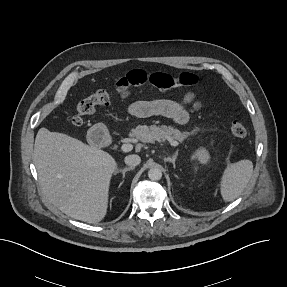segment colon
<instances>
[{"label": "colon", "mask_w": 287, "mask_h": 287, "mask_svg": "<svg viewBox=\"0 0 287 287\" xmlns=\"http://www.w3.org/2000/svg\"><path fill=\"white\" fill-rule=\"evenodd\" d=\"M198 82L197 75L190 72L169 74L163 72L147 73L143 70H132L116 83L112 90H98L87 98L82 99L76 106V115L73 118L75 126H80L84 117L93 114L97 107L109 106L113 99H125L133 90L146 85L159 89H172L177 87H191ZM230 132L240 138L247 136V129L243 122L234 119L229 122Z\"/></svg>", "instance_id": "1"}]
</instances>
